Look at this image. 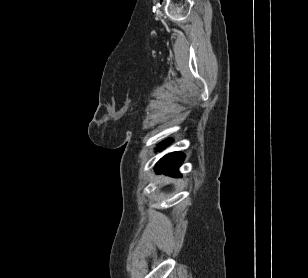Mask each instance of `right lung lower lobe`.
<instances>
[{"mask_svg":"<svg viewBox=\"0 0 308 278\" xmlns=\"http://www.w3.org/2000/svg\"><path fill=\"white\" fill-rule=\"evenodd\" d=\"M169 145L168 141H165L159 145L160 148ZM184 159V154L180 152H173L165 155L156 164L155 170L158 173H165L174 177L180 176L178 171L179 166L182 164Z\"/></svg>","mask_w":308,"mask_h":278,"instance_id":"98d812e1","label":"right lung lower lobe"}]
</instances>
